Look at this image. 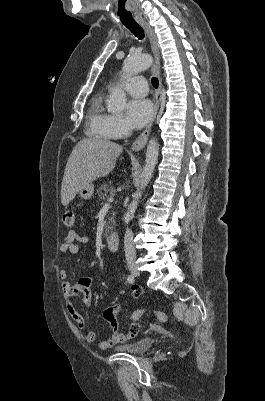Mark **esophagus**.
Listing matches in <instances>:
<instances>
[{
	"mask_svg": "<svg viewBox=\"0 0 265 401\" xmlns=\"http://www.w3.org/2000/svg\"><path fill=\"white\" fill-rule=\"evenodd\" d=\"M138 23L141 25V27L144 28V30L147 33L148 38L150 40V45H151V49H152L153 56H154V63L152 65L151 71H152L153 75H155V77H157L159 84H158V88L155 92L154 111H153L152 118L150 119V121H149L147 127L145 128V130L143 131V133H141V135L138 136L137 140L134 141V143L132 145V149L134 151L142 150L147 143L151 127L153 125V122L156 118V115H157V112L159 109L160 99H161V88H162V79H161V75H160V51H159L157 37H156L155 33L153 32V30L150 28V26L144 20H138Z\"/></svg>",
	"mask_w": 265,
	"mask_h": 401,
	"instance_id": "obj_1",
	"label": "esophagus"
}]
</instances>
